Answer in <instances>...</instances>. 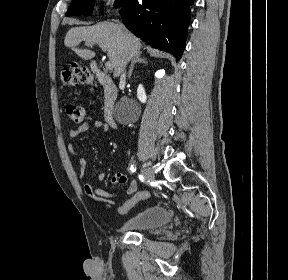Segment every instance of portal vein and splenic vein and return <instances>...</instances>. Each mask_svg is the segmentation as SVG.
Listing matches in <instances>:
<instances>
[{
	"label": "portal vein and splenic vein",
	"instance_id": "18ae733b",
	"mask_svg": "<svg viewBox=\"0 0 288 280\" xmlns=\"http://www.w3.org/2000/svg\"><path fill=\"white\" fill-rule=\"evenodd\" d=\"M91 44H93V43H91ZM99 46L102 48V50H103V51H105V50H106V48H105V46H104V45H102V44H99ZM105 66H106V69H108V70H111V69L113 68V66H112V63H111V62H106Z\"/></svg>",
	"mask_w": 288,
	"mask_h": 280
}]
</instances>
